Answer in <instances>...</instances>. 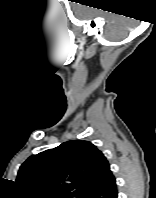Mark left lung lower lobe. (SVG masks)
<instances>
[{
  "label": "left lung lower lobe",
  "instance_id": "left-lung-lower-lobe-1",
  "mask_svg": "<svg viewBox=\"0 0 156 198\" xmlns=\"http://www.w3.org/2000/svg\"><path fill=\"white\" fill-rule=\"evenodd\" d=\"M116 180L112 172L96 189L87 193L83 198H117Z\"/></svg>",
  "mask_w": 156,
  "mask_h": 198
}]
</instances>
